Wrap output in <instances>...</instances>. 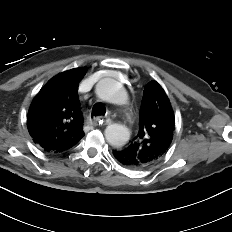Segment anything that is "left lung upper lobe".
Segmentation results:
<instances>
[{
	"instance_id": "left-lung-upper-lobe-1",
	"label": "left lung upper lobe",
	"mask_w": 232,
	"mask_h": 232,
	"mask_svg": "<svg viewBox=\"0 0 232 232\" xmlns=\"http://www.w3.org/2000/svg\"><path fill=\"white\" fill-rule=\"evenodd\" d=\"M175 129L174 112L163 88L149 82L143 92L139 116V131L124 149L135 158L137 168L158 162L168 151Z\"/></svg>"
}]
</instances>
